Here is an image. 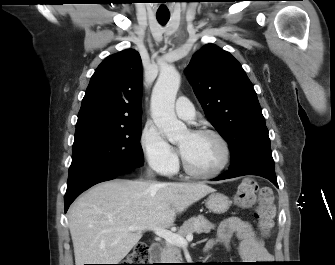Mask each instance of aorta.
Here are the masks:
<instances>
[{
  "label": "aorta",
  "mask_w": 335,
  "mask_h": 265,
  "mask_svg": "<svg viewBox=\"0 0 335 265\" xmlns=\"http://www.w3.org/2000/svg\"><path fill=\"white\" fill-rule=\"evenodd\" d=\"M180 74L172 67L163 68L152 91L151 115L155 125L170 142L186 133V126L175 115L174 103L180 86Z\"/></svg>",
  "instance_id": "obj_1"
}]
</instances>
